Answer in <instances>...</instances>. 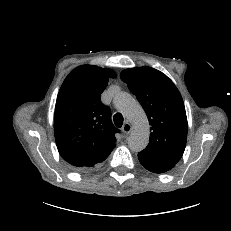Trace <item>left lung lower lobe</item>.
Wrapping results in <instances>:
<instances>
[{"label":"left lung lower lobe","instance_id":"0a47b994","mask_svg":"<svg viewBox=\"0 0 231 231\" xmlns=\"http://www.w3.org/2000/svg\"><path fill=\"white\" fill-rule=\"evenodd\" d=\"M138 159L144 168L154 173H164L175 166L173 163L147 158L140 153H138Z\"/></svg>","mask_w":231,"mask_h":231}]
</instances>
